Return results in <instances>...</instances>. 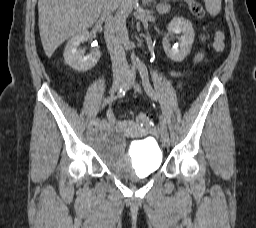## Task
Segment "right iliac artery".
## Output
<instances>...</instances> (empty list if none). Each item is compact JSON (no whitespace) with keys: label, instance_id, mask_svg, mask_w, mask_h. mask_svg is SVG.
Wrapping results in <instances>:
<instances>
[{"label":"right iliac artery","instance_id":"82829eb1","mask_svg":"<svg viewBox=\"0 0 256 228\" xmlns=\"http://www.w3.org/2000/svg\"><path fill=\"white\" fill-rule=\"evenodd\" d=\"M136 77V69L135 67H132L131 71H130V76L128 78V80L126 81V83L120 87L119 91L117 94H111L110 96H108L107 98H105L104 100V104H110L112 102H114L117 98H121L125 95L126 91L129 89V87L133 84L134 80ZM93 124L95 126L100 124V118H96L93 121Z\"/></svg>","mask_w":256,"mask_h":228}]
</instances>
